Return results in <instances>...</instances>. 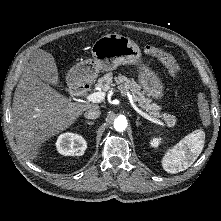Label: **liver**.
<instances>
[{
    "mask_svg": "<svg viewBox=\"0 0 221 221\" xmlns=\"http://www.w3.org/2000/svg\"><path fill=\"white\" fill-rule=\"evenodd\" d=\"M51 64L56 67L50 53L35 51L14 93V135L18 149L29 159L35 158L41 143L68 129L84 111L98 108L95 104L71 102L54 90L49 85Z\"/></svg>",
    "mask_w": 221,
    "mask_h": 221,
    "instance_id": "1",
    "label": "liver"
}]
</instances>
